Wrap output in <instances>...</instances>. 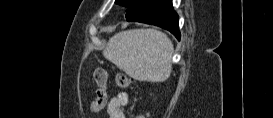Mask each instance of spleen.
I'll list each match as a JSON object with an SVG mask.
<instances>
[{"mask_svg": "<svg viewBox=\"0 0 273 118\" xmlns=\"http://www.w3.org/2000/svg\"><path fill=\"white\" fill-rule=\"evenodd\" d=\"M173 44L154 29L119 32L108 42L104 57L138 81L163 82L172 71Z\"/></svg>", "mask_w": 273, "mask_h": 118, "instance_id": "3e777b00", "label": "spleen"}]
</instances>
